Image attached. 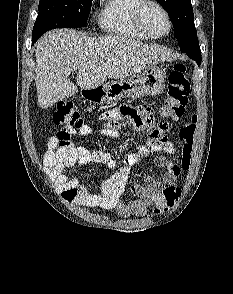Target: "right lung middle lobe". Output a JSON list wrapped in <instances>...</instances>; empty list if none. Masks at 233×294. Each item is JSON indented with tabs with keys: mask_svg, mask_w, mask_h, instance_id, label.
Wrapping results in <instances>:
<instances>
[{
	"mask_svg": "<svg viewBox=\"0 0 233 294\" xmlns=\"http://www.w3.org/2000/svg\"><path fill=\"white\" fill-rule=\"evenodd\" d=\"M92 0H40L33 27V39L54 28H76L86 25Z\"/></svg>",
	"mask_w": 233,
	"mask_h": 294,
	"instance_id": "dd1d6c3e",
	"label": "right lung middle lobe"
}]
</instances>
